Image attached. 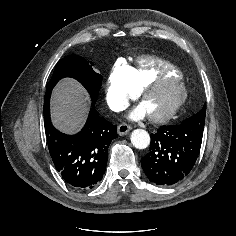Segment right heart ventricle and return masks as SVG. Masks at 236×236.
<instances>
[{
    "mask_svg": "<svg viewBox=\"0 0 236 236\" xmlns=\"http://www.w3.org/2000/svg\"><path fill=\"white\" fill-rule=\"evenodd\" d=\"M130 68V84L135 92L139 91L146 83L160 77H181V72L176 66L153 56L138 58Z\"/></svg>",
    "mask_w": 236,
    "mask_h": 236,
    "instance_id": "1",
    "label": "right heart ventricle"
}]
</instances>
